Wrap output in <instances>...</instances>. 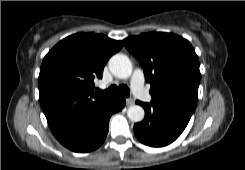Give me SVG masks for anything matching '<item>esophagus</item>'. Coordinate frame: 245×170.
Returning a JSON list of instances; mask_svg holds the SVG:
<instances>
[{
  "instance_id": "1",
  "label": "esophagus",
  "mask_w": 245,
  "mask_h": 170,
  "mask_svg": "<svg viewBox=\"0 0 245 170\" xmlns=\"http://www.w3.org/2000/svg\"><path fill=\"white\" fill-rule=\"evenodd\" d=\"M126 104H127V106H131V105L134 104V100L132 98H127L126 99Z\"/></svg>"
}]
</instances>
